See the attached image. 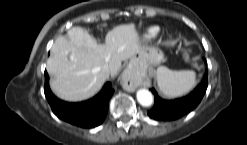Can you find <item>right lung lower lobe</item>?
<instances>
[{"instance_id":"right-lung-lower-lobe-1","label":"right lung lower lobe","mask_w":247,"mask_h":145,"mask_svg":"<svg viewBox=\"0 0 247 145\" xmlns=\"http://www.w3.org/2000/svg\"><path fill=\"white\" fill-rule=\"evenodd\" d=\"M48 80V74L45 72V96L58 118L83 128L96 127L104 121L108 111V102L114 93L111 83H106L102 91L88 101L68 103L52 94Z\"/></svg>"}]
</instances>
